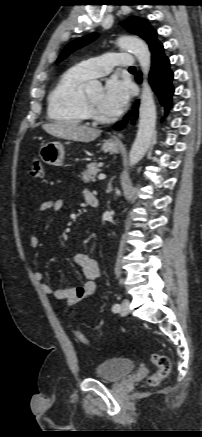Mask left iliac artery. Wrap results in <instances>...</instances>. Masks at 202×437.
<instances>
[{
    "label": "left iliac artery",
    "mask_w": 202,
    "mask_h": 437,
    "mask_svg": "<svg viewBox=\"0 0 202 437\" xmlns=\"http://www.w3.org/2000/svg\"><path fill=\"white\" fill-rule=\"evenodd\" d=\"M119 310H120V305L119 304H114L113 307H112V311L113 312H119Z\"/></svg>",
    "instance_id": "1"
}]
</instances>
